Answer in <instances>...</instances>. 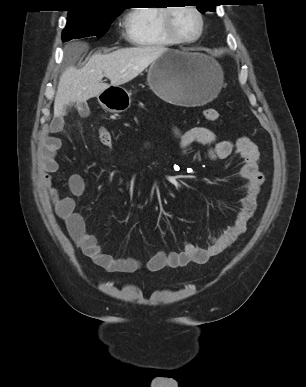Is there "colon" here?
<instances>
[{
    "label": "colon",
    "mask_w": 306,
    "mask_h": 387,
    "mask_svg": "<svg viewBox=\"0 0 306 387\" xmlns=\"http://www.w3.org/2000/svg\"><path fill=\"white\" fill-rule=\"evenodd\" d=\"M203 117L209 122H214L219 118V113L217 110L209 108L203 111ZM98 138L102 145L111 146L112 145V136L111 133L106 128H100L98 131Z\"/></svg>",
    "instance_id": "1"
}]
</instances>
